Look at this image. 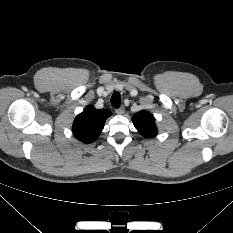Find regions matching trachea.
I'll return each mask as SVG.
<instances>
[{"label":"trachea","mask_w":233,"mask_h":233,"mask_svg":"<svg viewBox=\"0 0 233 233\" xmlns=\"http://www.w3.org/2000/svg\"><path fill=\"white\" fill-rule=\"evenodd\" d=\"M111 103L114 108H119L121 105V96L118 92H115L111 97Z\"/></svg>","instance_id":"trachea-1"}]
</instances>
